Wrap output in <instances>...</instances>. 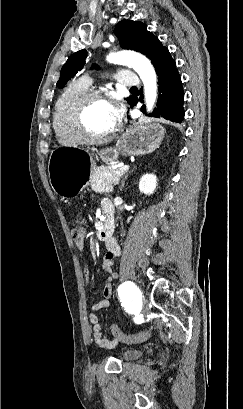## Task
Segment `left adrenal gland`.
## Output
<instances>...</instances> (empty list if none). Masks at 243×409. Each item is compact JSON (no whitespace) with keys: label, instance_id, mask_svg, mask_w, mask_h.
<instances>
[{"label":"left adrenal gland","instance_id":"obj_1","mask_svg":"<svg viewBox=\"0 0 243 409\" xmlns=\"http://www.w3.org/2000/svg\"><path fill=\"white\" fill-rule=\"evenodd\" d=\"M126 178H127V175H125L124 179L122 180V183H121V186H120V191H122L123 188H124Z\"/></svg>","mask_w":243,"mask_h":409}]
</instances>
